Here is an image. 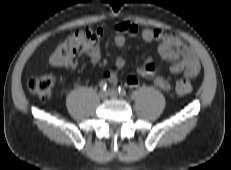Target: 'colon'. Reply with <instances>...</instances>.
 <instances>
[{
	"label": "colon",
	"instance_id": "colon-1",
	"mask_svg": "<svg viewBox=\"0 0 231 170\" xmlns=\"http://www.w3.org/2000/svg\"><path fill=\"white\" fill-rule=\"evenodd\" d=\"M94 35L95 32L88 28L75 31L56 46L49 58L50 64L57 68L68 67L82 44ZM54 84V75L47 73L30 79L27 88L42 101H48L52 96ZM174 90L178 95L183 96L191 92L192 85L188 79L180 77L175 81Z\"/></svg>",
	"mask_w": 231,
	"mask_h": 170
}]
</instances>
